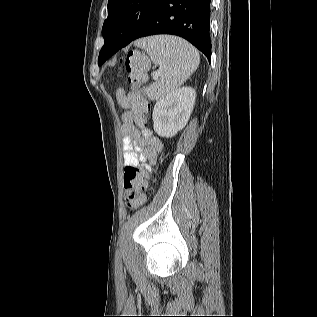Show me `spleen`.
Returning a JSON list of instances; mask_svg holds the SVG:
<instances>
[{"mask_svg": "<svg viewBox=\"0 0 317 317\" xmlns=\"http://www.w3.org/2000/svg\"><path fill=\"white\" fill-rule=\"evenodd\" d=\"M135 45L144 49L152 62L160 66L161 78L144 88L149 100H160L176 90L196 71L200 63L198 51L179 37H147L136 41Z\"/></svg>", "mask_w": 317, "mask_h": 317, "instance_id": "1", "label": "spleen"}]
</instances>
